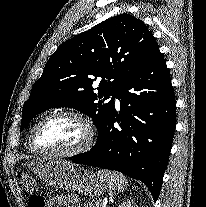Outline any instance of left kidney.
<instances>
[{"label": "left kidney", "instance_id": "5707ae66", "mask_svg": "<svg viewBox=\"0 0 206 207\" xmlns=\"http://www.w3.org/2000/svg\"><path fill=\"white\" fill-rule=\"evenodd\" d=\"M118 207H138L133 201L126 200L122 204H120Z\"/></svg>", "mask_w": 206, "mask_h": 207}]
</instances>
